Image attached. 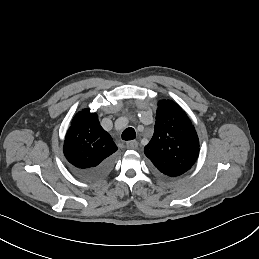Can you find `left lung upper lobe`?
Wrapping results in <instances>:
<instances>
[{"mask_svg":"<svg viewBox=\"0 0 259 259\" xmlns=\"http://www.w3.org/2000/svg\"><path fill=\"white\" fill-rule=\"evenodd\" d=\"M144 149L155 169L170 178L181 176L196 162L199 155L197 133L175 102H158L154 134Z\"/></svg>","mask_w":259,"mask_h":259,"instance_id":"1","label":"left lung upper lobe"}]
</instances>
